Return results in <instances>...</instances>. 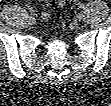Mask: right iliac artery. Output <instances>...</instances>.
I'll use <instances>...</instances> for the list:
<instances>
[{
  "instance_id": "obj_1",
  "label": "right iliac artery",
  "mask_w": 111,
  "mask_h": 106,
  "mask_svg": "<svg viewBox=\"0 0 111 106\" xmlns=\"http://www.w3.org/2000/svg\"><path fill=\"white\" fill-rule=\"evenodd\" d=\"M29 11H30V13H32V14L35 12V10H34L33 7H30V8H29Z\"/></svg>"
}]
</instances>
